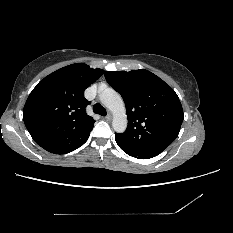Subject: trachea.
I'll return each instance as SVG.
<instances>
[{"label":"trachea","instance_id":"3493384b","mask_svg":"<svg viewBox=\"0 0 233 233\" xmlns=\"http://www.w3.org/2000/svg\"><path fill=\"white\" fill-rule=\"evenodd\" d=\"M93 111L94 113L99 114L101 116H106L107 114L106 109L103 106H101L99 103H96L93 106Z\"/></svg>","mask_w":233,"mask_h":233}]
</instances>
